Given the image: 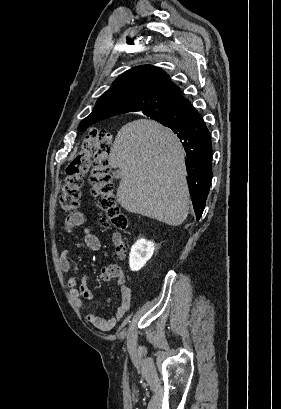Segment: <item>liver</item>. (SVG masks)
<instances>
[{
	"label": "liver",
	"mask_w": 281,
	"mask_h": 409,
	"mask_svg": "<svg viewBox=\"0 0 281 409\" xmlns=\"http://www.w3.org/2000/svg\"><path fill=\"white\" fill-rule=\"evenodd\" d=\"M120 168L117 198L121 207L179 227L189 211L184 150L176 134L156 120L124 124L108 158Z\"/></svg>",
	"instance_id": "liver-1"
}]
</instances>
